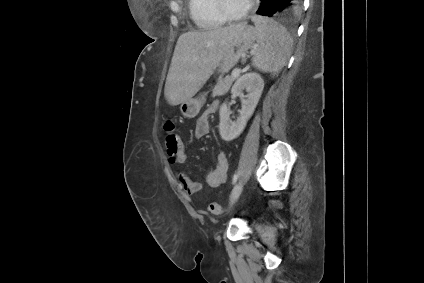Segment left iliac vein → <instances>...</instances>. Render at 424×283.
<instances>
[{
	"label": "left iliac vein",
	"instance_id": "1",
	"mask_svg": "<svg viewBox=\"0 0 424 283\" xmlns=\"http://www.w3.org/2000/svg\"><path fill=\"white\" fill-rule=\"evenodd\" d=\"M243 190V183L242 181H239L235 187L233 188L231 195H230V205L234 204L235 201L238 199V197L240 196L241 192Z\"/></svg>",
	"mask_w": 424,
	"mask_h": 283
}]
</instances>
